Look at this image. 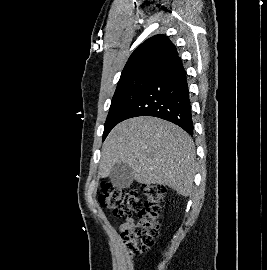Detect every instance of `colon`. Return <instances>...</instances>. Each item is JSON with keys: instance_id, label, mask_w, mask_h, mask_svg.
I'll use <instances>...</instances> for the list:
<instances>
[{"instance_id": "1", "label": "colon", "mask_w": 267, "mask_h": 270, "mask_svg": "<svg viewBox=\"0 0 267 270\" xmlns=\"http://www.w3.org/2000/svg\"><path fill=\"white\" fill-rule=\"evenodd\" d=\"M166 190L160 185H144L137 189H122L104 182L98 196L102 207L115 216L138 214L136 221L121 231V238L128 254L137 257L147 252L155 243Z\"/></svg>"}]
</instances>
